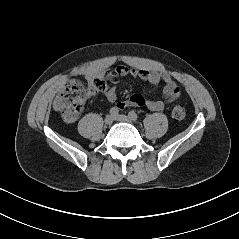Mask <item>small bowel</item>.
<instances>
[{
    "label": "small bowel",
    "mask_w": 239,
    "mask_h": 239,
    "mask_svg": "<svg viewBox=\"0 0 239 239\" xmlns=\"http://www.w3.org/2000/svg\"><path fill=\"white\" fill-rule=\"evenodd\" d=\"M130 75L134 78L146 81L149 84L157 85L163 83V99L152 100L145 99L140 95L131 96L126 102H119L116 104L118 110L123 109L127 105H140L145 106L152 111H162L166 105L174 102L180 96V89L170 75L166 73L148 71L146 69L128 68L126 66H117L114 71H107L103 73H90L86 75V79L89 84L90 94L95 95L98 92H103L104 96L109 102H115L117 100V92L115 87H108L105 84L103 90H99L96 86V81L100 79H106L111 82H116L119 78Z\"/></svg>",
    "instance_id": "c3829d8e"
}]
</instances>
